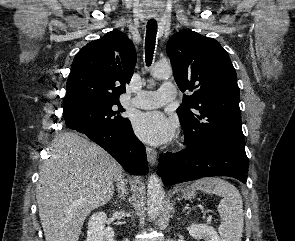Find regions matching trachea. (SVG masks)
Wrapping results in <instances>:
<instances>
[{
  "instance_id": "1",
  "label": "trachea",
  "mask_w": 295,
  "mask_h": 241,
  "mask_svg": "<svg viewBox=\"0 0 295 241\" xmlns=\"http://www.w3.org/2000/svg\"><path fill=\"white\" fill-rule=\"evenodd\" d=\"M157 34V22L150 20L147 23V32L145 39V61L147 66H150L153 59V53L155 49V40Z\"/></svg>"
}]
</instances>
